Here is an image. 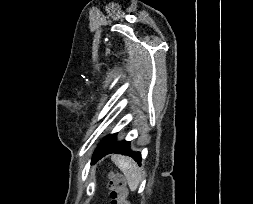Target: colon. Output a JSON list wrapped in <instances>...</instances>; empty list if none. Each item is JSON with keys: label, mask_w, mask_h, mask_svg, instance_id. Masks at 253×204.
Listing matches in <instances>:
<instances>
[{"label": "colon", "mask_w": 253, "mask_h": 204, "mask_svg": "<svg viewBox=\"0 0 253 204\" xmlns=\"http://www.w3.org/2000/svg\"><path fill=\"white\" fill-rule=\"evenodd\" d=\"M109 199L110 204H130L123 179L117 174H109Z\"/></svg>", "instance_id": "5ec220e1"}]
</instances>
